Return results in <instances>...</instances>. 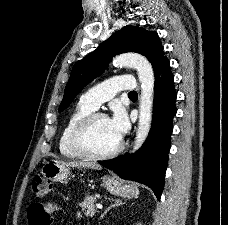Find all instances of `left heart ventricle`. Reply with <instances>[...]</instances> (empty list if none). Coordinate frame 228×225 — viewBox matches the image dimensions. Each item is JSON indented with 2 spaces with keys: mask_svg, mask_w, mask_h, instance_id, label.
Segmentation results:
<instances>
[{
  "mask_svg": "<svg viewBox=\"0 0 228 225\" xmlns=\"http://www.w3.org/2000/svg\"><path fill=\"white\" fill-rule=\"evenodd\" d=\"M118 140L110 130L108 119L98 118L91 126L88 144L98 152H105L118 145Z\"/></svg>",
  "mask_w": 228,
  "mask_h": 225,
  "instance_id": "1",
  "label": "left heart ventricle"
}]
</instances>
